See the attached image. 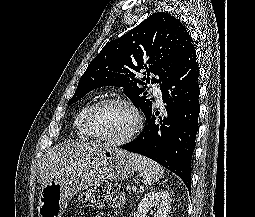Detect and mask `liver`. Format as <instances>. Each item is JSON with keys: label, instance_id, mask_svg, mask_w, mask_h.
Masks as SVG:
<instances>
[{"label": "liver", "instance_id": "obj_1", "mask_svg": "<svg viewBox=\"0 0 255 217\" xmlns=\"http://www.w3.org/2000/svg\"><path fill=\"white\" fill-rule=\"evenodd\" d=\"M103 146L94 142H71L48 151L38 166V182L45 185L70 172L84 161L101 153Z\"/></svg>", "mask_w": 255, "mask_h": 217}]
</instances>
